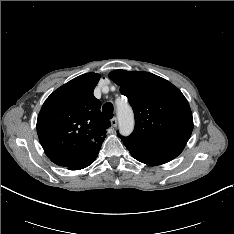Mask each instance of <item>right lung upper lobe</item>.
I'll return each mask as SVG.
<instances>
[{
  "instance_id": "cb5924a9",
  "label": "right lung upper lobe",
  "mask_w": 234,
  "mask_h": 234,
  "mask_svg": "<svg viewBox=\"0 0 234 234\" xmlns=\"http://www.w3.org/2000/svg\"><path fill=\"white\" fill-rule=\"evenodd\" d=\"M100 75H80L55 90L37 119L39 141L49 159L72 169L98 154L110 121L93 95Z\"/></svg>"
}]
</instances>
